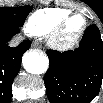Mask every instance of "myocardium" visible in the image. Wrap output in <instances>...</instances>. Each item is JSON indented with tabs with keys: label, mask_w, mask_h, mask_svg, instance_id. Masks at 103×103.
Segmentation results:
<instances>
[{
	"label": "myocardium",
	"mask_w": 103,
	"mask_h": 103,
	"mask_svg": "<svg viewBox=\"0 0 103 103\" xmlns=\"http://www.w3.org/2000/svg\"><path fill=\"white\" fill-rule=\"evenodd\" d=\"M76 16L83 18V25L81 29L73 36L66 37L65 29L68 23ZM88 26L87 18L84 14L79 12L69 13L60 19L48 33V43L50 46L56 49H68L73 47L84 35Z\"/></svg>",
	"instance_id": "myocardium-1"
}]
</instances>
